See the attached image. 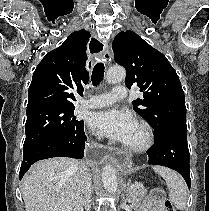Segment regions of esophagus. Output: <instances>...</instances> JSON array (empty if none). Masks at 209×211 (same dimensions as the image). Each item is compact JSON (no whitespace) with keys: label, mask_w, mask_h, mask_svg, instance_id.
<instances>
[{"label":"esophagus","mask_w":209,"mask_h":211,"mask_svg":"<svg viewBox=\"0 0 209 211\" xmlns=\"http://www.w3.org/2000/svg\"><path fill=\"white\" fill-rule=\"evenodd\" d=\"M91 56H99L106 64H110L111 52L108 43L102 44L95 38L90 42ZM124 156L128 151H118V147H90L86 155L88 163H120V167H127Z\"/></svg>","instance_id":"obj_1"}]
</instances>
